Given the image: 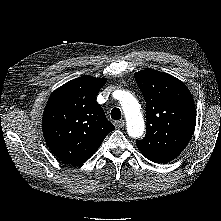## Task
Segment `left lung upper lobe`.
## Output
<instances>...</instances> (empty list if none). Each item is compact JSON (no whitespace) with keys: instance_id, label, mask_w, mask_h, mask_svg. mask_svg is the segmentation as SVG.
<instances>
[{"instance_id":"1","label":"left lung upper lobe","mask_w":221,"mask_h":221,"mask_svg":"<svg viewBox=\"0 0 221 221\" xmlns=\"http://www.w3.org/2000/svg\"><path fill=\"white\" fill-rule=\"evenodd\" d=\"M146 102V135L136 144L155 163L175 159L187 146L196 124L193 97L176 77L153 69L134 74Z\"/></svg>"}]
</instances>
